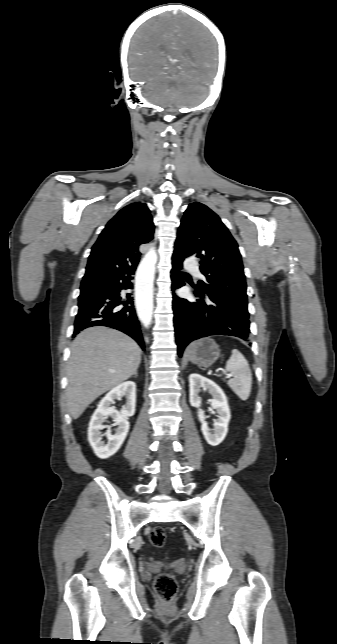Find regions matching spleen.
<instances>
[{
	"label": "spleen",
	"instance_id": "obj_1",
	"mask_svg": "<svg viewBox=\"0 0 337 644\" xmlns=\"http://www.w3.org/2000/svg\"><path fill=\"white\" fill-rule=\"evenodd\" d=\"M225 372L233 375V378L227 381L228 386L241 400H247L252 387V373L247 360L237 349L232 350Z\"/></svg>",
	"mask_w": 337,
	"mask_h": 644
}]
</instances>
